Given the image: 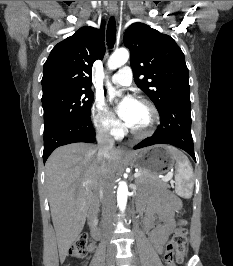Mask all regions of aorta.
Returning <instances> with one entry per match:
<instances>
[{
    "label": "aorta",
    "instance_id": "aorta-1",
    "mask_svg": "<svg viewBox=\"0 0 233 266\" xmlns=\"http://www.w3.org/2000/svg\"><path fill=\"white\" fill-rule=\"evenodd\" d=\"M129 59V52L126 49L116 50L108 59L107 66L110 70H115L123 66ZM109 93H115V89L109 81L106 83ZM128 197V186L126 182H120L117 189V203L119 209L123 212L126 208Z\"/></svg>",
    "mask_w": 233,
    "mask_h": 266
}]
</instances>
